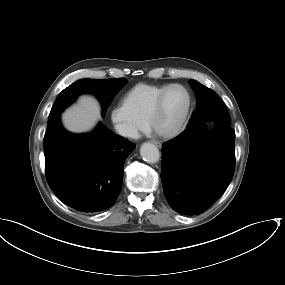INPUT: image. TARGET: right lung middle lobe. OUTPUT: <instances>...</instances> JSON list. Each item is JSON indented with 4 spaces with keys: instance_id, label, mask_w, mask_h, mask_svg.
<instances>
[{
    "instance_id": "dd1d6c3e",
    "label": "right lung middle lobe",
    "mask_w": 285,
    "mask_h": 285,
    "mask_svg": "<svg viewBox=\"0 0 285 285\" xmlns=\"http://www.w3.org/2000/svg\"><path fill=\"white\" fill-rule=\"evenodd\" d=\"M125 83V78L104 80L88 78L74 82L65 88L57 97L49 115L47 130L51 129L56 122L60 120L61 112L82 93L90 92L100 99L104 116L113 98Z\"/></svg>"
}]
</instances>
